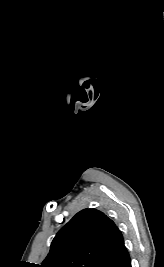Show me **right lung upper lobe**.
I'll return each mask as SVG.
<instances>
[{"label":"right lung upper lobe","instance_id":"obj_1","mask_svg":"<svg viewBox=\"0 0 164 267\" xmlns=\"http://www.w3.org/2000/svg\"><path fill=\"white\" fill-rule=\"evenodd\" d=\"M124 247L115 223L103 212H78L55 236L41 267H99Z\"/></svg>","mask_w":164,"mask_h":267}]
</instances>
